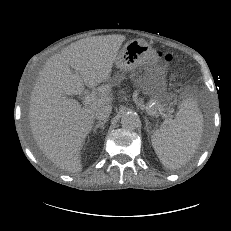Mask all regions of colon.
<instances>
[{
	"mask_svg": "<svg viewBox=\"0 0 231 231\" xmlns=\"http://www.w3.org/2000/svg\"><path fill=\"white\" fill-rule=\"evenodd\" d=\"M173 60V55L172 54H166L165 55V61L166 62H171Z\"/></svg>",
	"mask_w": 231,
	"mask_h": 231,
	"instance_id": "colon-1",
	"label": "colon"
}]
</instances>
